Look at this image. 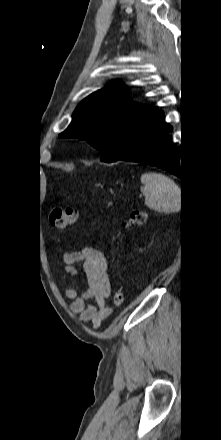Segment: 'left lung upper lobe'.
Masks as SVG:
<instances>
[{
	"instance_id": "obj_1",
	"label": "left lung upper lobe",
	"mask_w": 221,
	"mask_h": 440,
	"mask_svg": "<svg viewBox=\"0 0 221 440\" xmlns=\"http://www.w3.org/2000/svg\"><path fill=\"white\" fill-rule=\"evenodd\" d=\"M151 107L131 101L122 83L107 85L85 98L60 137L85 139L101 152L100 160L115 162L126 151L131 134Z\"/></svg>"
}]
</instances>
